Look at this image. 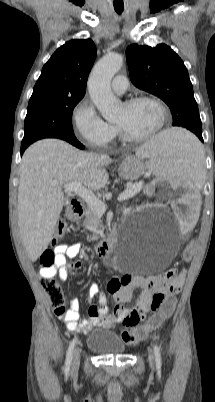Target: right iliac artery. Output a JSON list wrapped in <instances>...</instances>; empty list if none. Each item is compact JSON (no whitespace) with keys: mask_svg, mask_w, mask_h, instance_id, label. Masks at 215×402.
<instances>
[{"mask_svg":"<svg viewBox=\"0 0 215 402\" xmlns=\"http://www.w3.org/2000/svg\"><path fill=\"white\" fill-rule=\"evenodd\" d=\"M76 342H77V338L75 337V338L71 341V343H70V345H69V348H68V350H67L66 361H65V367H64V372H65V374H68V373H69L70 366H71V362H72V357H73V351H74V347H75Z\"/></svg>","mask_w":215,"mask_h":402,"instance_id":"obj_1","label":"right iliac artery"}]
</instances>
